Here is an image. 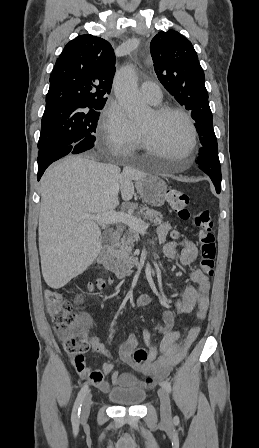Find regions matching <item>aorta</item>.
Returning <instances> with one entry per match:
<instances>
[{
    "instance_id": "1",
    "label": "aorta",
    "mask_w": 259,
    "mask_h": 448,
    "mask_svg": "<svg viewBox=\"0 0 259 448\" xmlns=\"http://www.w3.org/2000/svg\"><path fill=\"white\" fill-rule=\"evenodd\" d=\"M114 93L131 120L142 117L146 111V105L142 100L138 86L137 75L134 67L127 65L117 71L114 78Z\"/></svg>"
}]
</instances>
